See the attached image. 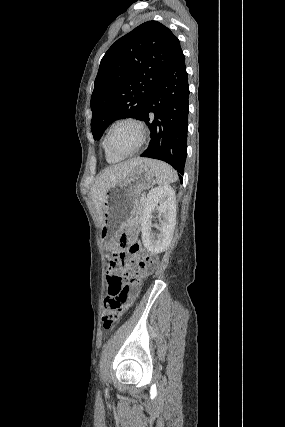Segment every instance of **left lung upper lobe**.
Returning a JSON list of instances; mask_svg holds the SVG:
<instances>
[{"mask_svg":"<svg viewBox=\"0 0 285 427\" xmlns=\"http://www.w3.org/2000/svg\"><path fill=\"white\" fill-rule=\"evenodd\" d=\"M181 52L178 38L158 21L139 25L108 49L91 96L95 140L117 119L141 118L156 86Z\"/></svg>","mask_w":285,"mask_h":427,"instance_id":"obj_1","label":"left lung upper lobe"}]
</instances>
